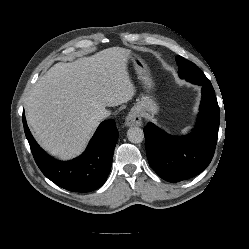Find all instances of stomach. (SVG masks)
Listing matches in <instances>:
<instances>
[{"instance_id":"stomach-1","label":"stomach","mask_w":249,"mask_h":249,"mask_svg":"<svg viewBox=\"0 0 249 249\" xmlns=\"http://www.w3.org/2000/svg\"><path fill=\"white\" fill-rule=\"evenodd\" d=\"M129 59L133 62L138 78L142 81L147 94H143L137 101L132 111L145 118H153L158 113V106L153 97L148 93L153 88L147 64L138 55L130 54Z\"/></svg>"}]
</instances>
